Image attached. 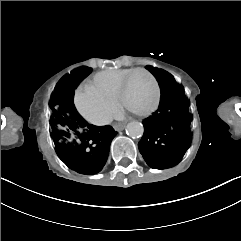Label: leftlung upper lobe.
<instances>
[{
  "instance_id": "1",
  "label": "left lung upper lobe",
  "mask_w": 241,
  "mask_h": 241,
  "mask_svg": "<svg viewBox=\"0 0 241 241\" xmlns=\"http://www.w3.org/2000/svg\"><path fill=\"white\" fill-rule=\"evenodd\" d=\"M146 68L157 78V81L161 87V92L165 91L170 86L178 85L173 76L168 72L153 68L151 66H146Z\"/></svg>"
}]
</instances>
